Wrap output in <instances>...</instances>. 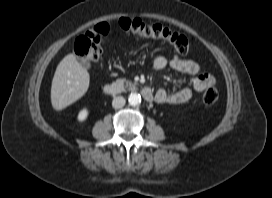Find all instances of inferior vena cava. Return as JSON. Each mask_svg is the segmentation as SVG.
<instances>
[{
  "label": "inferior vena cava",
  "instance_id": "602c4592",
  "mask_svg": "<svg viewBox=\"0 0 272 198\" xmlns=\"http://www.w3.org/2000/svg\"><path fill=\"white\" fill-rule=\"evenodd\" d=\"M125 103H126V101H125L124 97L118 96L113 99L112 106L115 109H119V108H122L125 105Z\"/></svg>",
  "mask_w": 272,
  "mask_h": 198
}]
</instances>
